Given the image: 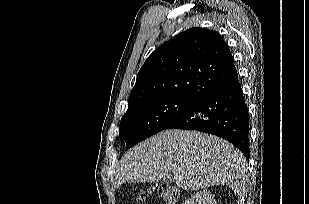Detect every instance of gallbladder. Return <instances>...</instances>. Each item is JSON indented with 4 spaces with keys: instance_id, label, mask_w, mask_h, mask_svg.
<instances>
[{
    "instance_id": "obj_1",
    "label": "gallbladder",
    "mask_w": 309,
    "mask_h": 204,
    "mask_svg": "<svg viewBox=\"0 0 309 204\" xmlns=\"http://www.w3.org/2000/svg\"><path fill=\"white\" fill-rule=\"evenodd\" d=\"M173 181V177L170 174L164 176V182L171 183Z\"/></svg>"
}]
</instances>
